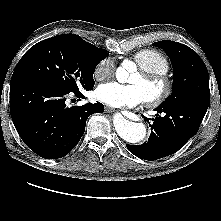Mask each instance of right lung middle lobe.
<instances>
[{"label":"right lung middle lobe","instance_id":"1","mask_svg":"<svg viewBox=\"0 0 221 221\" xmlns=\"http://www.w3.org/2000/svg\"><path fill=\"white\" fill-rule=\"evenodd\" d=\"M108 54H102L83 39L63 34L32 46L20 59L13 75L44 81L65 92L94 87L93 73Z\"/></svg>","mask_w":221,"mask_h":221}]
</instances>
